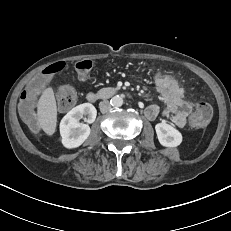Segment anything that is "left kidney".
Instances as JSON below:
<instances>
[{"label":"left kidney","mask_w":231,"mask_h":231,"mask_svg":"<svg viewBox=\"0 0 231 231\" xmlns=\"http://www.w3.org/2000/svg\"><path fill=\"white\" fill-rule=\"evenodd\" d=\"M155 130L158 140L162 146L177 147L182 142V134L165 122L156 124Z\"/></svg>","instance_id":"1"}]
</instances>
